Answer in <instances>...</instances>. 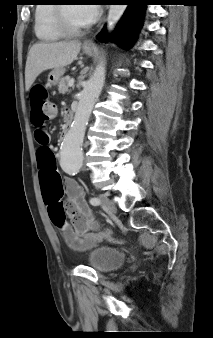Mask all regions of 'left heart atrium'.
I'll use <instances>...</instances> for the list:
<instances>
[{
    "instance_id": "left-heart-atrium-1",
    "label": "left heart atrium",
    "mask_w": 213,
    "mask_h": 338,
    "mask_svg": "<svg viewBox=\"0 0 213 338\" xmlns=\"http://www.w3.org/2000/svg\"><path fill=\"white\" fill-rule=\"evenodd\" d=\"M77 9L81 19L88 25L94 23L100 14L98 5H80Z\"/></svg>"
}]
</instances>
